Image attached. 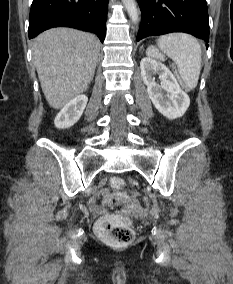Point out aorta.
<instances>
[{"label":"aorta","instance_id":"762f6f07","mask_svg":"<svg viewBox=\"0 0 233 284\" xmlns=\"http://www.w3.org/2000/svg\"><path fill=\"white\" fill-rule=\"evenodd\" d=\"M127 13L134 24H137L139 21V16L136 8L135 0H122Z\"/></svg>","mask_w":233,"mask_h":284}]
</instances>
